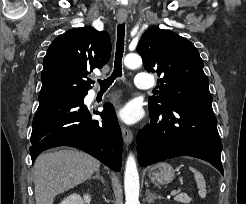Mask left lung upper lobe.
Returning <instances> with one entry per match:
<instances>
[{"label":"left lung upper lobe","instance_id":"1","mask_svg":"<svg viewBox=\"0 0 246 204\" xmlns=\"http://www.w3.org/2000/svg\"><path fill=\"white\" fill-rule=\"evenodd\" d=\"M137 51L145 69L161 76L159 95L149 97V110L159 112L172 101H212L203 61L187 39L169 30L149 28Z\"/></svg>","mask_w":246,"mask_h":204}]
</instances>
